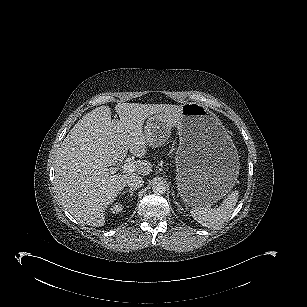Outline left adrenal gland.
<instances>
[{"instance_id": "a2214340", "label": "left adrenal gland", "mask_w": 307, "mask_h": 307, "mask_svg": "<svg viewBox=\"0 0 307 307\" xmlns=\"http://www.w3.org/2000/svg\"><path fill=\"white\" fill-rule=\"evenodd\" d=\"M173 198H174V200H175V194L173 193ZM175 204L178 206V208H180V205H179V203L175 200Z\"/></svg>"}]
</instances>
